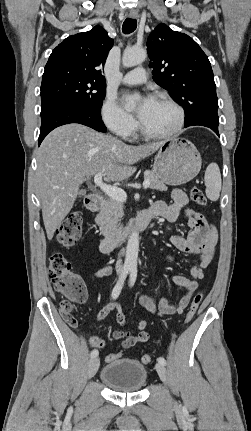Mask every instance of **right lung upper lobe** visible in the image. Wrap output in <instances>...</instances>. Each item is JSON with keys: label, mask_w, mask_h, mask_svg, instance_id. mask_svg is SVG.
<instances>
[{"label": "right lung upper lobe", "mask_w": 251, "mask_h": 431, "mask_svg": "<svg viewBox=\"0 0 251 431\" xmlns=\"http://www.w3.org/2000/svg\"><path fill=\"white\" fill-rule=\"evenodd\" d=\"M113 43L107 31L97 25L60 43L52 51L45 69L66 67L105 82L101 70Z\"/></svg>", "instance_id": "cb5924a9"}]
</instances>
